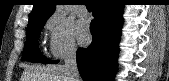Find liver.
I'll use <instances>...</instances> for the list:
<instances>
[{"label":"liver","instance_id":"liver-1","mask_svg":"<svg viewBox=\"0 0 169 81\" xmlns=\"http://www.w3.org/2000/svg\"><path fill=\"white\" fill-rule=\"evenodd\" d=\"M21 81H70L63 65L31 66L25 69Z\"/></svg>","mask_w":169,"mask_h":81}]
</instances>
